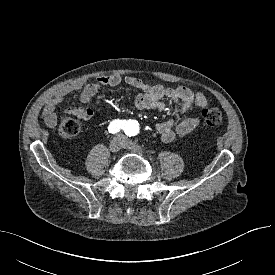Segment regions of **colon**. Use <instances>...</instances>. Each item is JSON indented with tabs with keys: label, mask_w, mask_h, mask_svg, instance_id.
I'll return each mask as SVG.
<instances>
[{
	"label": "colon",
	"mask_w": 275,
	"mask_h": 275,
	"mask_svg": "<svg viewBox=\"0 0 275 275\" xmlns=\"http://www.w3.org/2000/svg\"><path fill=\"white\" fill-rule=\"evenodd\" d=\"M202 118L204 123L211 127L218 126L223 121L222 113L218 108L203 109ZM58 131L61 137L71 139L80 133L81 125L76 119L65 114L60 119Z\"/></svg>",
	"instance_id": "colon-1"
}]
</instances>
